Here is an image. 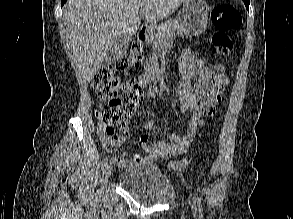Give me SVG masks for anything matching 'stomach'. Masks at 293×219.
<instances>
[{"mask_svg":"<svg viewBox=\"0 0 293 219\" xmlns=\"http://www.w3.org/2000/svg\"><path fill=\"white\" fill-rule=\"evenodd\" d=\"M210 8L203 0H187L182 7L185 26L192 35L202 34L208 23Z\"/></svg>","mask_w":293,"mask_h":219,"instance_id":"0dacf381","label":"stomach"}]
</instances>
